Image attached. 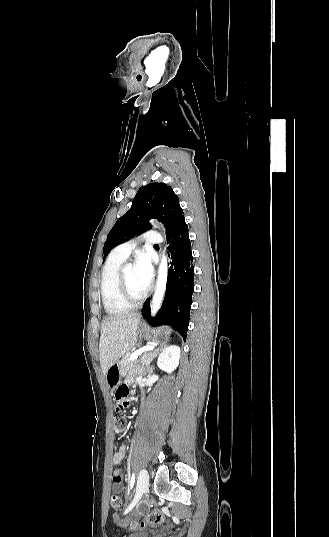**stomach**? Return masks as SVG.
<instances>
[{
	"mask_svg": "<svg viewBox=\"0 0 329 537\" xmlns=\"http://www.w3.org/2000/svg\"><path fill=\"white\" fill-rule=\"evenodd\" d=\"M167 339V331L164 327H159L154 331L156 343L164 342ZM106 381L110 387H115L120 382V371L117 362L109 368L106 373Z\"/></svg>",
	"mask_w": 329,
	"mask_h": 537,
	"instance_id": "stomach-1",
	"label": "stomach"
}]
</instances>
